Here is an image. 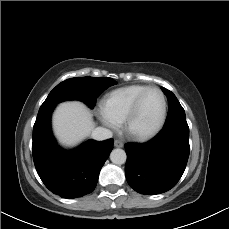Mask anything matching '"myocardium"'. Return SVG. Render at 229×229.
<instances>
[{
    "label": "myocardium",
    "instance_id": "f54148a6",
    "mask_svg": "<svg viewBox=\"0 0 229 229\" xmlns=\"http://www.w3.org/2000/svg\"><path fill=\"white\" fill-rule=\"evenodd\" d=\"M152 91H156L158 92L161 97H162V102H163V106H162V111H161V116L158 120V122L156 123V125L151 128L148 131L145 132H135L132 130L131 126L133 123V120L138 112V108L141 104V101L143 100V98ZM167 100L166 97L164 95V93L162 92L161 89L157 88V87H149L148 89H146L145 91H143L142 93H140L135 100L133 101L125 119H124V132L127 136H129L131 139L134 140H138V141H144L147 139H150L152 137H154L155 135H157L163 128L165 121H166V117H167Z\"/></svg>",
    "mask_w": 229,
    "mask_h": 229
}]
</instances>
